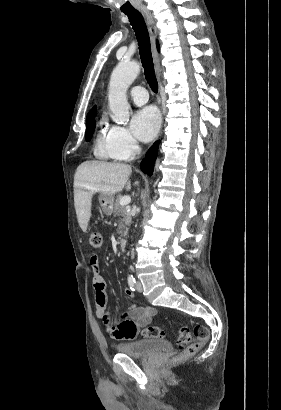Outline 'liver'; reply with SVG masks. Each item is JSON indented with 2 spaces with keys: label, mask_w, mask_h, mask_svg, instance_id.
I'll use <instances>...</instances> for the list:
<instances>
[{
  "label": "liver",
  "mask_w": 281,
  "mask_h": 410,
  "mask_svg": "<svg viewBox=\"0 0 281 410\" xmlns=\"http://www.w3.org/2000/svg\"><path fill=\"white\" fill-rule=\"evenodd\" d=\"M132 172L128 164L108 163L104 161H85L81 163L74 175V205L80 228L88 229L91 218L92 197L96 193L115 195L131 189L128 181Z\"/></svg>",
  "instance_id": "1"
}]
</instances>
